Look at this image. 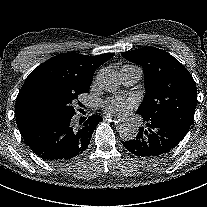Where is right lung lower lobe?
Returning <instances> with one entry per match:
<instances>
[{"instance_id":"obj_1","label":"right lung lower lobe","mask_w":207,"mask_h":207,"mask_svg":"<svg viewBox=\"0 0 207 207\" xmlns=\"http://www.w3.org/2000/svg\"><path fill=\"white\" fill-rule=\"evenodd\" d=\"M71 119L44 121L20 133L31 150L43 160L68 162L86 150L96 125L103 120L99 115H92L75 129Z\"/></svg>"}]
</instances>
